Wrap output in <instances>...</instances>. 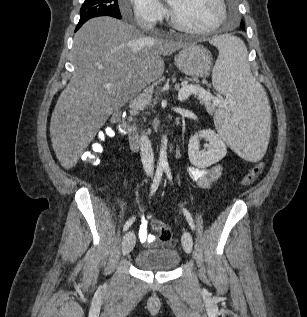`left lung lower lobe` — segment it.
Listing matches in <instances>:
<instances>
[{"label": "left lung lower lobe", "instance_id": "1", "mask_svg": "<svg viewBox=\"0 0 307 317\" xmlns=\"http://www.w3.org/2000/svg\"><path fill=\"white\" fill-rule=\"evenodd\" d=\"M241 28L244 29V23H243V21L241 22Z\"/></svg>", "mask_w": 307, "mask_h": 317}]
</instances>
